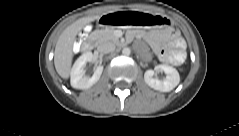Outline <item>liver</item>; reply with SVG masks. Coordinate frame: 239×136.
Returning <instances> with one entry per match:
<instances>
[{
	"label": "liver",
	"instance_id": "obj_1",
	"mask_svg": "<svg viewBox=\"0 0 239 136\" xmlns=\"http://www.w3.org/2000/svg\"><path fill=\"white\" fill-rule=\"evenodd\" d=\"M99 18V15L80 18L69 25L58 38L54 51V65L57 73L63 79H68L71 72L73 44L76 35L85 27V25Z\"/></svg>",
	"mask_w": 239,
	"mask_h": 136
}]
</instances>
